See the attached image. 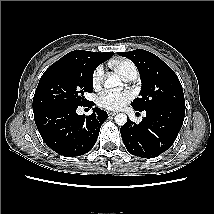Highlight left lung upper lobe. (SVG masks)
Here are the masks:
<instances>
[{
    "label": "left lung upper lobe",
    "instance_id": "1",
    "mask_svg": "<svg viewBox=\"0 0 214 214\" xmlns=\"http://www.w3.org/2000/svg\"><path fill=\"white\" fill-rule=\"evenodd\" d=\"M136 65L141 78L140 97L131 106L144 111L156 107L185 109L184 93L175 72L159 57L142 49L119 52Z\"/></svg>",
    "mask_w": 214,
    "mask_h": 214
}]
</instances>
